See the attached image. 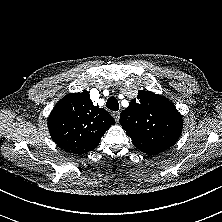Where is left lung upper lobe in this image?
Masks as SVG:
<instances>
[{
	"mask_svg": "<svg viewBox=\"0 0 222 222\" xmlns=\"http://www.w3.org/2000/svg\"><path fill=\"white\" fill-rule=\"evenodd\" d=\"M120 124L135 147L151 155L173 146L183 125L174 104L150 91H140L132 99L120 115Z\"/></svg>",
	"mask_w": 222,
	"mask_h": 222,
	"instance_id": "obj_1",
	"label": "left lung upper lobe"
}]
</instances>
